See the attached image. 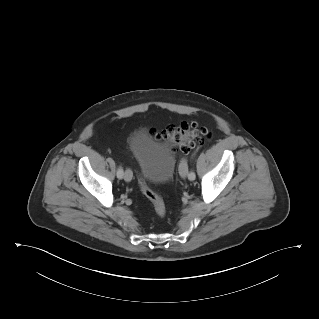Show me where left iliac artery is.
<instances>
[{"instance_id": "left-iliac-artery-1", "label": "left iliac artery", "mask_w": 319, "mask_h": 319, "mask_svg": "<svg viewBox=\"0 0 319 319\" xmlns=\"http://www.w3.org/2000/svg\"><path fill=\"white\" fill-rule=\"evenodd\" d=\"M194 155H195V154H194ZM183 162H184V160L181 161L180 166H181V164H182ZM180 166H179V167H180ZM195 178H196L195 173H194L193 171H190V172H189V178H188V179L191 180V181H193V180H195Z\"/></svg>"}]
</instances>
